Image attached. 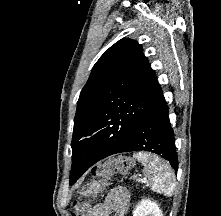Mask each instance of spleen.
Returning a JSON list of instances; mask_svg holds the SVG:
<instances>
[{
    "mask_svg": "<svg viewBox=\"0 0 221 216\" xmlns=\"http://www.w3.org/2000/svg\"><path fill=\"white\" fill-rule=\"evenodd\" d=\"M134 157L144 166L143 173L151 189L171 197L175 190V175L171 166L158 156L148 153H137Z\"/></svg>",
    "mask_w": 221,
    "mask_h": 216,
    "instance_id": "obj_1",
    "label": "spleen"
}]
</instances>
